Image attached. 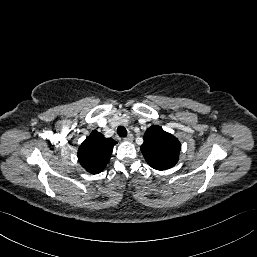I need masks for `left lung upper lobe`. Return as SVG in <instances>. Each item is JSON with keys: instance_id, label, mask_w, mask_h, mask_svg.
Masks as SVG:
<instances>
[{"instance_id": "5c2ea615", "label": "left lung upper lobe", "mask_w": 257, "mask_h": 257, "mask_svg": "<svg viewBox=\"0 0 257 257\" xmlns=\"http://www.w3.org/2000/svg\"><path fill=\"white\" fill-rule=\"evenodd\" d=\"M181 144L178 139L157 125L144 134L141 151L147 163L156 170L173 167L179 159Z\"/></svg>"}]
</instances>
